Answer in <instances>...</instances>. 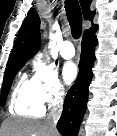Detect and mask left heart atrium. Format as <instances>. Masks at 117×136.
Masks as SVG:
<instances>
[{
	"label": "left heart atrium",
	"mask_w": 117,
	"mask_h": 136,
	"mask_svg": "<svg viewBox=\"0 0 117 136\" xmlns=\"http://www.w3.org/2000/svg\"><path fill=\"white\" fill-rule=\"evenodd\" d=\"M78 75V69L75 63L66 62L62 68V76L66 83L73 82Z\"/></svg>",
	"instance_id": "1"
}]
</instances>
